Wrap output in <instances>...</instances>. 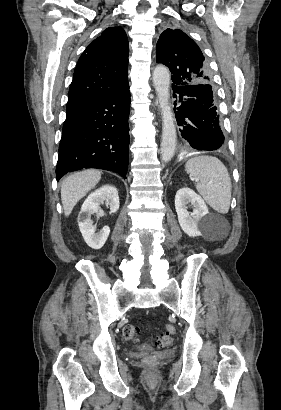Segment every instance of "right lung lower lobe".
<instances>
[{
  "label": "right lung lower lobe",
  "mask_w": 281,
  "mask_h": 410,
  "mask_svg": "<svg viewBox=\"0 0 281 410\" xmlns=\"http://www.w3.org/2000/svg\"><path fill=\"white\" fill-rule=\"evenodd\" d=\"M129 112L128 85L67 111L59 145L57 181L82 168L114 171L126 178Z\"/></svg>",
  "instance_id": "1"
}]
</instances>
